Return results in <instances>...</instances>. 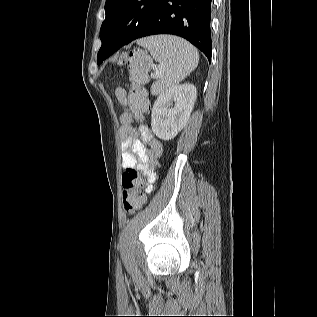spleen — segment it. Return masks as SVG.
I'll return each mask as SVG.
<instances>
[{
	"instance_id": "1",
	"label": "spleen",
	"mask_w": 317,
	"mask_h": 317,
	"mask_svg": "<svg viewBox=\"0 0 317 317\" xmlns=\"http://www.w3.org/2000/svg\"><path fill=\"white\" fill-rule=\"evenodd\" d=\"M160 63L164 76L151 86L152 95H161L189 75L198 65V51L179 37L158 35L138 41Z\"/></svg>"
}]
</instances>
